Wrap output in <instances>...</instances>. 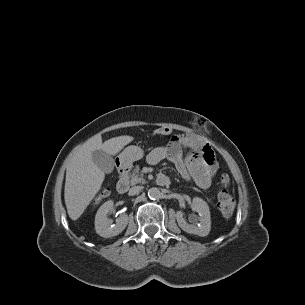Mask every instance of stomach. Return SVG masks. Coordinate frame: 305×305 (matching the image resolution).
Wrapping results in <instances>:
<instances>
[{
  "instance_id": "stomach-1",
  "label": "stomach",
  "mask_w": 305,
  "mask_h": 305,
  "mask_svg": "<svg viewBox=\"0 0 305 305\" xmlns=\"http://www.w3.org/2000/svg\"><path fill=\"white\" fill-rule=\"evenodd\" d=\"M144 151L141 147L131 145L126 147L118 156L123 166H131L133 162L142 159Z\"/></svg>"
}]
</instances>
